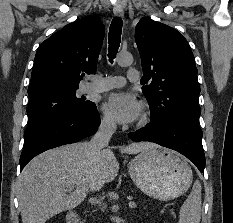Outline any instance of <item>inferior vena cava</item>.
Masks as SVG:
<instances>
[{
    "label": "inferior vena cava",
    "instance_id": "1",
    "mask_svg": "<svg viewBox=\"0 0 233 223\" xmlns=\"http://www.w3.org/2000/svg\"><path fill=\"white\" fill-rule=\"evenodd\" d=\"M114 131H116V121L103 117L95 135L89 141L90 151H92L94 157H104L106 153L104 147L108 145V141H110V137H112ZM101 187L102 185L99 183V185H95L94 189H101Z\"/></svg>",
    "mask_w": 233,
    "mask_h": 223
}]
</instances>
